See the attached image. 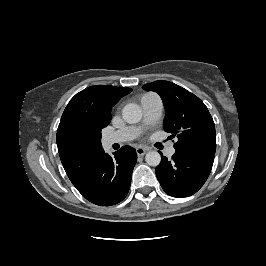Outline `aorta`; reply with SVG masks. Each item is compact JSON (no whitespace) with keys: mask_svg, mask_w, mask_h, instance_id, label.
<instances>
[{"mask_svg":"<svg viewBox=\"0 0 266 266\" xmlns=\"http://www.w3.org/2000/svg\"><path fill=\"white\" fill-rule=\"evenodd\" d=\"M122 117L127 123H138L142 118V110L135 103L127 104L122 110ZM145 161L148 165L156 167L161 162V156L157 151H150L146 154Z\"/></svg>","mask_w":266,"mask_h":266,"instance_id":"aorta-1","label":"aorta"}]
</instances>
